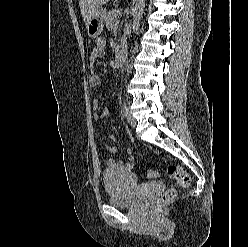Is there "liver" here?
I'll return each mask as SVG.
<instances>
[{
    "label": "liver",
    "instance_id": "6515ba94",
    "mask_svg": "<svg viewBox=\"0 0 248 247\" xmlns=\"http://www.w3.org/2000/svg\"><path fill=\"white\" fill-rule=\"evenodd\" d=\"M110 0H79V6L85 24L93 17L101 6L105 5Z\"/></svg>",
    "mask_w": 248,
    "mask_h": 247
}]
</instances>
